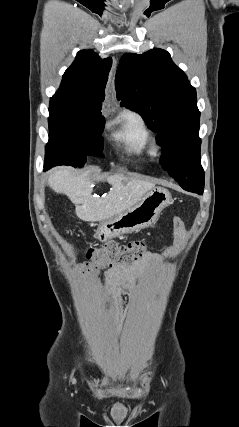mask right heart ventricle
<instances>
[{
  "instance_id": "1",
  "label": "right heart ventricle",
  "mask_w": 239,
  "mask_h": 427,
  "mask_svg": "<svg viewBox=\"0 0 239 427\" xmlns=\"http://www.w3.org/2000/svg\"><path fill=\"white\" fill-rule=\"evenodd\" d=\"M114 138L124 145L132 156H154L157 152L155 137L143 118L136 112L124 113L118 119Z\"/></svg>"
}]
</instances>
